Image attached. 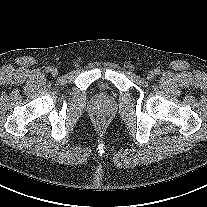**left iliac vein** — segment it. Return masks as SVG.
<instances>
[{
  "label": "left iliac vein",
  "mask_w": 207,
  "mask_h": 207,
  "mask_svg": "<svg viewBox=\"0 0 207 207\" xmlns=\"http://www.w3.org/2000/svg\"><path fill=\"white\" fill-rule=\"evenodd\" d=\"M154 76H155V73H154L153 71H149V72L147 73V79H148V80L153 79Z\"/></svg>",
  "instance_id": "left-iliac-vein-1"
}]
</instances>
